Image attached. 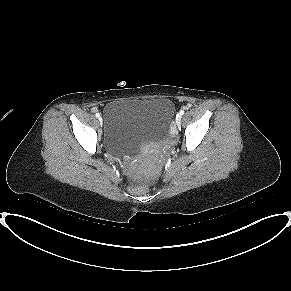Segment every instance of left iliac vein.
Masks as SVG:
<instances>
[{
	"mask_svg": "<svg viewBox=\"0 0 291 291\" xmlns=\"http://www.w3.org/2000/svg\"><path fill=\"white\" fill-rule=\"evenodd\" d=\"M181 115L180 114H178L177 116H176V124H177V126H180L181 125Z\"/></svg>",
	"mask_w": 291,
	"mask_h": 291,
	"instance_id": "obj_1",
	"label": "left iliac vein"
}]
</instances>
